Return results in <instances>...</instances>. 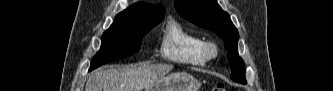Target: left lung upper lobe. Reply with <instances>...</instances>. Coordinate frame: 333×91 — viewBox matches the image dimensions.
Segmentation results:
<instances>
[{"instance_id":"5c2ea615","label":"left lung upper lobe","mask_w":333,"mask_h":91,"mask_svg":"<svg viewBox=\"0 0 333 91\" xmlns=\"http://www.w3.org/2000/svg\"><path fill=\"white\" fill-rule=\"evenodd\" d=\"M175 8L183 18L223 38L231 65V77L234 81L245 84V66L238 55V31L216 0H175Z\"/></svg>"}]
</instances>
